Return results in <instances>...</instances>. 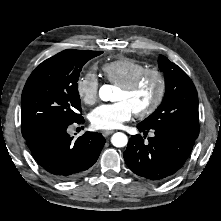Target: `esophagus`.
<instances>
[{
    "mask_svg": "<svg viewBox=\"0 0 221 221\" xmlns=\"http://www.w3.org/2000/svg\"><path fill=\"white\" fill-rule=\"evenodd\" d=\"M112 133H114L113 130H108V131H103V132H102V135L106 137V136H108V135H110V134H112Z\"/></svg>",
    "mask_w": 221,
    "mask_h": 221,
    "instance_id": "34e87169",
    "label": "esophagus"
}]
</instances>
